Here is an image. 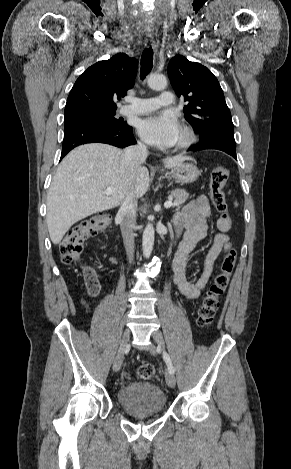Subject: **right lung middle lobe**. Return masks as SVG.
<instances>
[{
    "label": "right lung middle lobe",
    "mask_w": 291,
    "mask_h": 469,
    "mask_svg": "<svg viewBox=\"0 0 291 469\" xmlns=\"http://www.w3.org/2000/svg\"><path fill=\"white\" fill-rule=\"evenodd\" d=\"M116 109H95L64 116V124L75 121L87 120L104 124H122L120 120L114 118Z\"/></svg>",
    "instance_id": "obj_1"
}]
</instances>
